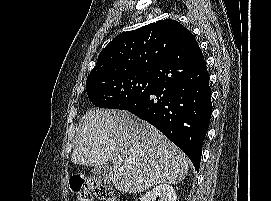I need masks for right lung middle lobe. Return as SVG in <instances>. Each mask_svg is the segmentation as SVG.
<instances>
[{
    "instance_id": "dd1d6c3e",
    "label": "right lung middle lobe",
    "mask_w": 271,
    "mask_h": 201,
    "mask_svg": "<svg viewBox=\"0 0 271 201\" xmlns=\"http://www.w3.org/2000/svg\"><path fill=\"white\" fill-rule=\"evenodd\" d=\"M153 73H119L87 78L86 91L91 102L101 108L119 109L123 103L151 87Z\"/></svg>"
}]
</instances>
